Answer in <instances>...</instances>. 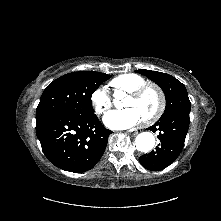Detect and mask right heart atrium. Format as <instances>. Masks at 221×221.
<instances>
[{"mask_svg":"<svg viewBox=\"0 0 221 221\" xmlns=\"http://www.w3.org/2000/svg\"><path fill=\"white\" fill-rule=\"evenodd\" d=\"M91 104L97 115H103L111 108L112 100L106 90L99 87L91 95Z\"/></svg>","mask_w":221,"mask_h":221,"instance_id":"right-heart-atrium-1","label":"right heart atrium"}]
</instances>
